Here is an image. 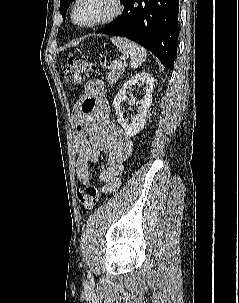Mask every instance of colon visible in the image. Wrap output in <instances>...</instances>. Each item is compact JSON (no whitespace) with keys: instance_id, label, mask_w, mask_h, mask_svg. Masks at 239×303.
Wrapping results in <instances>:
<instances>
[{"instance_id":"colon-1","label":"colon","mask_w":239,"mask_h":303,"mask_svg":"<svg viewBox=\"0 0 239 303\" xmlns=\"http://www.w3.org/2000/svg\"><path fill=\"white\" fill-rule=\"evenodd\" d=\"M92 69L93 64L87 58H70L63 67L64 81L68 85L81 83ZM76 194L80 203L87 209L95 207L100 198V192L94 185H89L85 190L78 189Z\"/></svg>"}]
</instances>
